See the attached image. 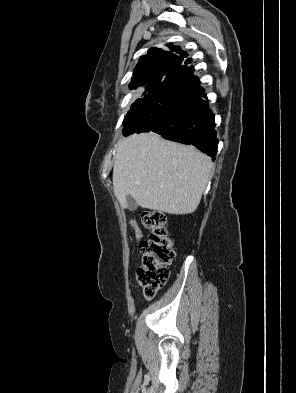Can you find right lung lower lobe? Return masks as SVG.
<instances>
[{
    "mask_svg": "<svg viewBox=\"0 0 296 393\" xmlns=\"http://www.w3.org/2000/svg\"><path fill=\"white\" fill-rule=\"evenodd\" d=\"M193 72L192 67H182L166 77L137 117L124 126L123 135L155 132L193 145L214 161L218 148L214 115L201 99L206 94Z\"/></svg>",
    "mask_w": 296,
    "mask_h": 393,
    "instance_id": "obj_1",
    "label": "right lung lower lobe"
}]
</instances>
